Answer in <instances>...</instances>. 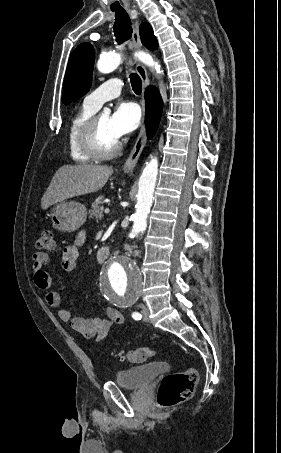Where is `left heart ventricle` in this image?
Here are the masks:
<instances>
[{"instance_id": "b2bd125f", "label": "left heart ventricle", "mask_w": 281, "mask_h": 453, "mask_svg": "<svg viewBox=\"0 0 281 453\" xmlns=\"http://www.w3.org/2000/svg\"><path fill=\"white\" fill-rule=\"evenodd\" d=\"M99 138L101 147L108 150L113 147L115 142L118 140L117 137L111 131L110 128V116L102 114L99 121Z\"/></svg>"}]
</instances>
